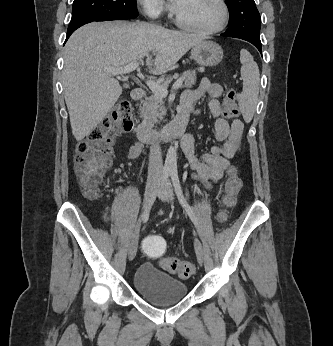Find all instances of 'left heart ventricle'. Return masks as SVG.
Instances as JSON below:
<instances>
[{
    "instance_id": "obj_1",
    "label": "left heart ventricle",
    "mask_w": 333,
    "mask_h": 346,
    "mask_svg": "<svg viewBox=\"0 0 333 346\" xmlns=\"http://www.w3.org/2000/svg\"><path fill=\"white\" fill-rule=\"evenodd\" d=\"M176 12L183 20L200 28L215 27L222 17L217 0H182Z\"/></svg>"
}]
</instances>
